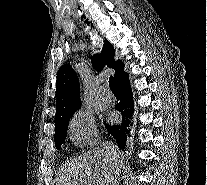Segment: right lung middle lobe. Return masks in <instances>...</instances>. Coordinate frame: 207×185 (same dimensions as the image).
I'll list each match as a JSON object with an SVG mask.
<instances>
[{
	"label": "right lung middle lobe",
	"instance_id": "right-lung-middle-lobe-1",
	"mask_svg": "<svg viewBox=\"0 0 207 185\" xmlns=\"http://www.w3.org/2000/svg\"><path fill=\"white\" fill-rule=\"evenodd\" d=\"M68 124L55 129V146L60 149L62 143L65 142Z\"/></svg>",
	"mask_w": 207,
	"mask_h": 185
}]
</instances>
